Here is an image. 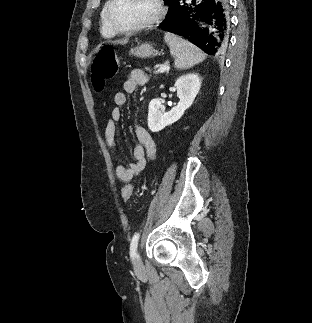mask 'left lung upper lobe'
<instances>
[{"label": "left lung upper lobe", "instance_id": "1", "mask_svg": "<svg viewBox=\"0 0 312 323\" xmlns=\"http://www.w3.org/2000/svg\"><path fill=\"white\" fill-rule=\"evenodd\" d=\"M165 1H166V4H168L169 9H168L166 18L161 24L166 23L168 20H170L173 17L180 0H165Z\"/></svg>", "mask_w": 312, "mask_h": 323}]
</instances>
